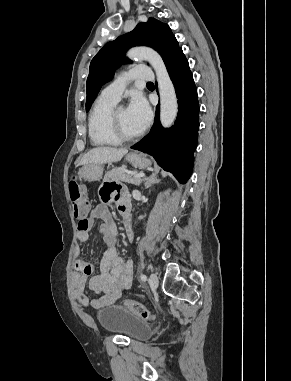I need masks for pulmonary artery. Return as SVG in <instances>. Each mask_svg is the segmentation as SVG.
<instances>
[{"label":"pulmonary artery","mask_w":291,"mask_h":381,"mask_svg":"<svg viewBox=\"0 0 291 381\" xmlns=\"http://www.w3.org/2000/svg\"><path fill=\"white\" fill-rule=\"evenodd\" d=\"M132 79L152 81L154 75L147 65H136L129 71L121 73L116 79L107 85L101 92L102 97L119 101L127 84Z\"/></svg>","instance_id":"1"}]
</instances>
